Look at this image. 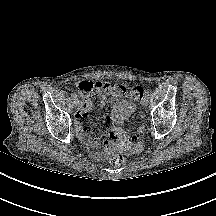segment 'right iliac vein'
Instances as JSON below:
<instances>
[{
	"instance_id": "obj_1",
	"label": "right iliac vein",
	"mask_w": 216,
	"mask_h": 216,
	"mask_svg": "<svg viewBox=\"0 0 216 216\" xmlns=\"http://www.w3.org/2000/svg\"><path fill=\"white\" fill-rule=\"evenodd\" d=\"M73 104L77 107L79 106V101L77 99H73Z\"/></svg>"
}]
</instances>
